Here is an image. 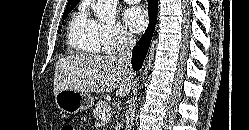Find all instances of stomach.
I'll return each instance as SVG.
<instances>
[{
    "instance_id": "obj_1",
    "label": "stomach",
    "mask_w": 249,
    "mask_h": 130,
    "mask_svg": "<svg viewBox=\"0 0 249 130\" xmlns=\"http://www.w3.org/2000/svg\"><path fill=\"white\" fill-rule=\"evenodd\" d=\"M55 103L62 112L75 114L91 108L94 105V99L89 93L62 90L55 95Z\"/></svg>"
}]
</instances>
